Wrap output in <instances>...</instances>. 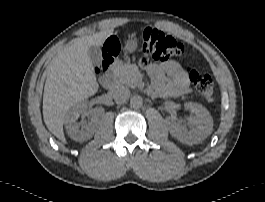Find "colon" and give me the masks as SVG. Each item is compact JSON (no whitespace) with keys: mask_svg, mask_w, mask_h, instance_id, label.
<instances>
[{"mask_svg":"<svg viewBox=\"0 0 265 202\" xmlns=\"http://www.w3.org/2000/svg\"><path fill=\"white\" fill-rule=\"evenodd\" d=\"M142 55L141 62L149 59L164 62L170 57L181 56L186 52L185 45L176 37L156 29H145L141 32ZM120 44L116 38H111L105 45V53L97 65L98 74H104L110 63L118 56ZM196 93L205 102L212 104L215 101L213 81L204 69L186 67Z\"/></svg>","mask_w":265,"mask_h":202,"instance_id":"5ec220e1","label":"colon"}]
</instances>
